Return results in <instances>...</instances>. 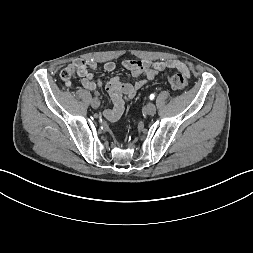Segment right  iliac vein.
<instances>
[{"instance_id": "63e3f726", "label": "right iliac vein", "mask_w": 253, "mask_h": 253, "mask_svg": "<svg viewBox=\"0 0 253 253\" xmlns=\"http://www.w3.org/2000/svg\"><path fill=\"white\" fill-rule=\"evenodd\" d=\"M91 106L95 109H97L100 106V101L98 98H93L91 101Z\"/></svg>"}]
</instances>
